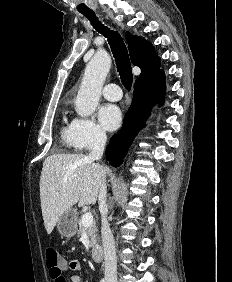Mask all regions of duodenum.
Returning a JSON list of instances; mask_svg holds the SVG:
<instances>
[{
    "label": "duodenum",
    "mask_w": 232,
    "mask_h": 282,
    "mask_svg": "<svg viewBox=\"0 0 232 282\" xmlns=\"http://www.w3.org/2000/svg\"><path fill=\"white\" fill-rule=\"evenodd\" d=\"M91 257L95 262H101L104 257L103 247L99 244H96L92 247Z\"/></svg>",
    "instance_id": "duodenum-1"
}]
</instances>
